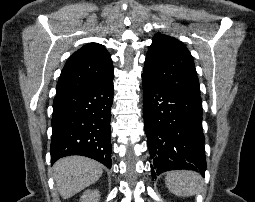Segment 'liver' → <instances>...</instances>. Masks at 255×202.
<instances>
[{"instance_id": "liver-1", "label": "liver", "mask_w": 255, "mask_h": 202, "mask_svg": "<svg viewBox=\"0 0 255 202\" xmlns=\"http://www.w3.org/2000/svg\"><path fill=\"white\" fill-rule=\"evenodd\" d=\"M103 173V166L87 157L69 156L53 165V177L63 199H69L95 183Z\"/></svg>"}]
</instances>
